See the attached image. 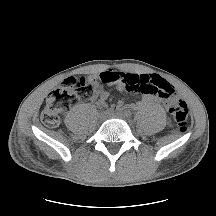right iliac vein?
Listing matches in <instances>:
<instances>
[{
	"label": "right iliac vein",
	"mask_w": 216,
	"mask_h": 216,
	"mask_svg": "<svg viewBox=\"0 0 216 216\" xmlns=\"http://www.w3.org/2000/svg\"><path fill=\"white\" fill-rule=\"evenodd\" d=\"M106 116H107V113L102 112V113H100L99 118H100L101 121H103L106 118Z\"/></svg>",
	"instance_id": "obj_1"
}]
</instances>
